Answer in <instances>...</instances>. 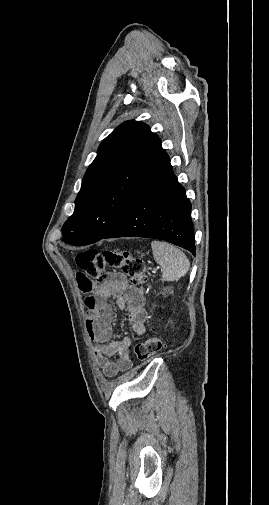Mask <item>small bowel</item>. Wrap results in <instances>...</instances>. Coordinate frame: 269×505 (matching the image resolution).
I'll return each mask as SVG.
<instances>
[{
    "label": "small bowel",
    "mask_w": 269,
    "mask_h": 505,
    "mask_svg": "<svg viewBox=\"0 0 269 505\" xmlns=\"http://www.w3.org/2000/svg\"><path fill=\"white\" fill-rule=\"evenodd\" d=\"M77 289L83 295L87 306L86 330L94 343L97 365L107 377H114L132 367L129 338L111 340L113 336V311L109 300L117 298L120 309L125 310L128 322L136 335L146 334L145 295L140 288L130 286L124 274L108 272L100 281H91L84 269L77 271ZM117 356V360H112Z\"/></svg>",
    "instance_id": "small-bowel-1"
}]
</instances>
